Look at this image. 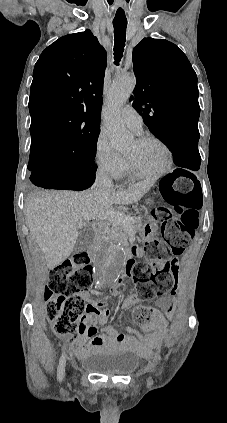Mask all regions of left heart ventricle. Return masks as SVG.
Returning <instances> with one entry per match:
<instances>
[{
    "label": "left heart ventricle",
    "mask_w": 227,
    "mask_h": 423,
    "mask_svg": "<svg viewBox=\"0 0 227 423\" xmlns=\"http://www.w3.org/2000/svg\"><path fill=\"white\" fill-rule=\"evenodd\" d=\"M126 155L132 158L139 171L150 174L159 172L167 160L165 150L156 142L141 144L134 141Z\"/></svg>",
    "instance_id": "b2bd125f"
}]
</instances>
